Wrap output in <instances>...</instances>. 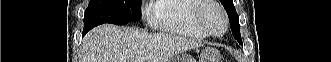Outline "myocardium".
Returning <instances> with one entry per match:
<instances>
[{"label":"myocardium","instance_id":"obj_1","mask_svg":"<svg viewBox=\"0 0 331 62\" xmlns=\"http://www.w3.org/2000/svg\"><path fill=\"white\" fill-rule=\"evenodd\" d=\"M211 8L218 10L222 16L224 28L221 33H215L214 31H212L205 20V13ZM193 18L197 27L201 29L208 36L221 37L227 32L229 27V20L226 11L220 5L219 2L214 0H200V4L196 8Z\"/></svg>","mask_w":331,"mask_h":62}]
</instances>
